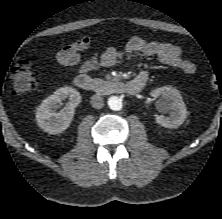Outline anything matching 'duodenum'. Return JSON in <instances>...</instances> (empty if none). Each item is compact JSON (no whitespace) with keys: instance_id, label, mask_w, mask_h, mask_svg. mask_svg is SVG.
Returning <instances> with one entry per match:
<instances>
[{"instance_id":"1","label":"duodenum","mask_w":222,"mask_h":219,"mask_svg":"<svg viewBox=\"0 0 222 219\" xmlns=\"http://www.w3.org/2000/svg\"><path fill=\"white\" fill-rule=\"evenodd\" d=\"M75 85L84 91L96 92H114V93H129L137 94L143 85L135 82H122V81H104L96 82L88 75H78L74 79Z\"/></svg>"}]
</instances>
